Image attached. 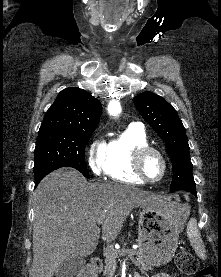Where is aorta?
I'll return each instance as SVG.
<instances>
[{"label": "aorta", "mask_w": 221, "mask_h": 277, "mask_svg": "<svg viewBox=\"0 0 221 277\" xmlns=\"http://www.w3.org/2000/svg\"><path fill=\"white\" fill-rule=\"evenodd\" d=\"M109 112L113 115H117L120 112L119 104L117 102L111 103L109 106Z\"/></svg>", "instance_id": "obj_1"}]
</instances>
